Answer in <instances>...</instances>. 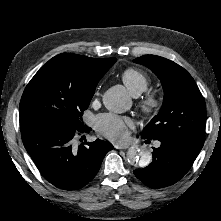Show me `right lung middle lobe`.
<instances>
[{
  "label": "right lung middle lobe",
  "instance_id": "obj_1",
  "mask_svg": "<svg viewBox=\"0 0 221 221\" xmlns=\"http://www.w3.org/2000/svg\"><path fill=\"white\" fill-rule=\"evenodd\" d=\"M116 62L112 59L109 69ZM95 88L62 83L47 73H36L26 86L20 101V124L67 125L84 127L82 114L88 108Z\"/></svg>",
  "mask_w": 221,
  "mask_h": 221
}]
</instances>
